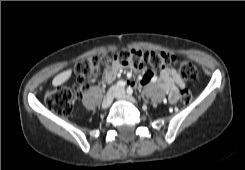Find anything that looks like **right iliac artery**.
<instances>
[{"label": "right iliac artery", "mask_w": 245, "mask_h": 170, "mask_svg": "<svg viewBox=\"0 0 245 170\" xmlns=\"http://www.w3.org/2000/svg\"><path fill=\"white\" fill-rule=\"evenodd\" d=\"M125 84H126V83H125L124 81H119V82H117L116 85H117L118 87H124Z\"/></svg>", "instance_id": "82829eb1"}]
</instances>
